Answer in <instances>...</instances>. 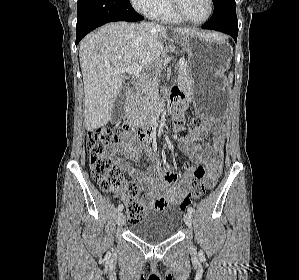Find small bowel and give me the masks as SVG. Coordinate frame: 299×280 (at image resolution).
<instances>
[{
	"mask_svg": "<svg viewBox=\"0 0 299 280\" xmlns=\"http://www.w3.org/2000/svg\"><path fill=\"white\" fill-rule=\"evenodd\" d=\"M175 93L178 94V92ZM184 107L185 105L174 116L175 130H180L183 124ZM201 128L202 133H195V136H186L185 134L179 139V148L189 156L193 164L185 170L181 177L168 168V162L165 158L158 159L146 172L130 168L123 160L119 159L116 154L136 162L140 159L141 152L150 153L149 146L140 144L132 136H124L119 143L108 148L110 155L129 173L139 190L145 192L142 200L146 208H166L169 205H179L184 197L190 193L192 181L195 178V165H206L205 181L214 184L220 176L227 125L212 120L203 122ZM209 132L215 134L212 144H194L195 140H203ZM119 196L123 200L128 198L126 192H121Z\"/></svg>",
	"mask_w": 299,
	"mask_h": 280,
	"instance_id": "c3829d8e",
	"label": "small bowel"
}]
</instances>
